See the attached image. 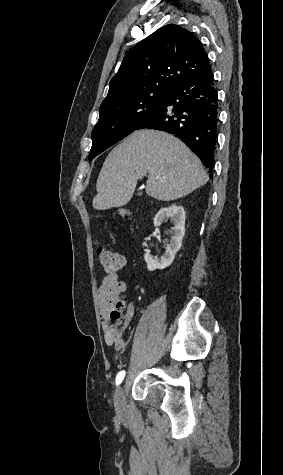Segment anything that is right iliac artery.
I'll list each match as a JSON object with an SVG mask.
<instances>
[{"label": "right iliac artery", "instance_id": "82829eb1", "mask_svg": "<svg viewBox=\"0 0 283 475\" xmlns=\"http://www.w3.org/2000/svg\"><path fill=\"white\" fill-rule=\"evenodd\" d=\"M125 377V371H120L116 376V385H119Z\"/></svg>", "mask_w": 283, "mask_h": 475}]
</instances>
